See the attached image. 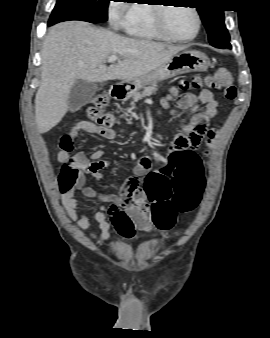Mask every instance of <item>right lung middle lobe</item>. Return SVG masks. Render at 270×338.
Wrapping results in <instances>:
<instances>
[{
  "instance_id": "1",
  "label": "right lung middle lobe",
  "mask_w": 270,
  "mask_h": 338,
  "mask_svg": "<svg viewBox=\"0 0 270 338\" xmlns=\"http://www.w3.org/2000/svg\"><path fill=\"white\" fill-rule=\"evenodd\" d=\"M110 0H57L48 25L69 20L100 23L108 19Z\"/></svg>"
}]
</instances>
